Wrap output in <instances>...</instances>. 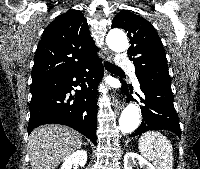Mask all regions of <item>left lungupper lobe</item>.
Here are the masks:
<instances>
[{
  "mask_svg": "<svg viewBox=\"0 0 200 169\" xmlns=\"http://www.w3.org/2000/svg\"><path fill=\"white\" fill-rule=\"evenodd\" d=\"M115 27L128 32L131 43L128 55L135 66L138 80L147 78L170 84L165 51L152 24L128 10H123L112 21V28Z\"/></svg>",
  "mask_w": 200,
  "mask_h": 169,
  "instance_id": "5c2ea615",
  "label": "left lung upper lobe"
}]
</instances>
